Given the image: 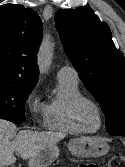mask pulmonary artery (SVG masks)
I'll return each mask as SVG.
<instances>
[{"instance_id":"e3ab8cb5","label":"pulmonary artery","mask_w":125,"mask_h":167,"mask_svg":"<svg viewBox=\"0 0 125 167\" xmlns=\"http://www.w3.org/2000/svg\"><path fill=\"white\" fill-rule=\"evenodd\" d=\"M58 79H78V73L72 66H62L57 72Z\"/></svg>"}]
</instances>
